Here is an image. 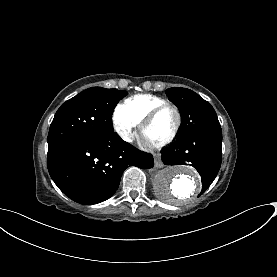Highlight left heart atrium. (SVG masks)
Here are the masks:
<instances>
[{"mask_svg": "<svg viewBox=\"0 0 277 277\" xmlns=\"http://www.w3.org/2000/svg\"><path fill=\"white\" fill-rule=\"evenodd\" d=\"M142 142L147 144V145H151L153 144L151 141H149L144 135L142 136Z\"/></svg>", "mask_w": 277, "mask_h": 277, "instance_id": "left-heart-atrium-1", "label": "left heart atrium"}]
</instances>
